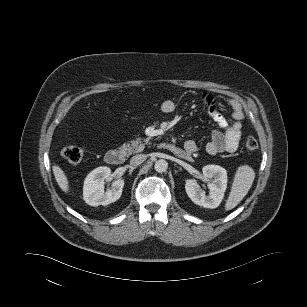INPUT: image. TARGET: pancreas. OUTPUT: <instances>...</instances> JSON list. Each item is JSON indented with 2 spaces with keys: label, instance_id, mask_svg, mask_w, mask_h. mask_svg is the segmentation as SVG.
Here are the masks:
<instances>
[{
  "label": "pancreas",
  "instance_id": "cf45deb5",
  "mask_svg": "<svg viewBox=\"0 0 307 307\" xmlns=\"http://www.w3.org/2000/svg\"><path fill=\"white\" fill-rule=\"evenodd\" d=\"M148 143H149V138L146 139L136 138L135 140H132L129 143H124L120 147V150L129 156L131 154L143 151L145 145H147Z\"/></svg>",
  "mask_w": 307,
  "mask_h": 307
}]
</instances>
